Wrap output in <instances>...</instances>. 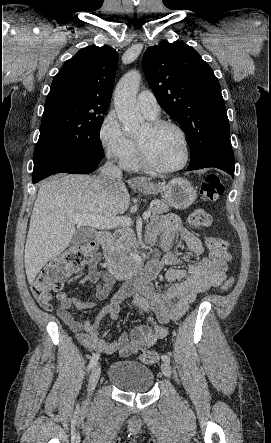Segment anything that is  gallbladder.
<instances>
[{
    "label": "gallbladder",
    "instance_id": "gallbladder-1",
    "mask_svg": "<svg viewBox=\"0 0 271 443\" xmlns=\"http://www.w3.org/2000/svg\"><path fill=\"white\" fill-rule=\"evenodd\" d=\"M95 233H88V231H76L71 239V245H80V243H85L88 239H92Z\"/></svg>",
    "mask_w": 271,
    "mask_h": 443
}]
</instances>
